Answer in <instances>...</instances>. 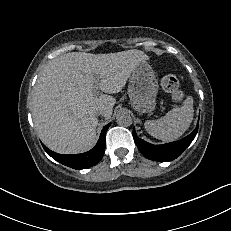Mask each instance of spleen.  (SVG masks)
<instances>
[{"label": "spleen", "mask_w": 231, "mask_h": 231, "mask_svg": "<svg viewBox=\"0 0 231 231\" xmlns=\"http://www.w3.org/2000/svg\"><path fill=\"white\" fill-rule=\"evenodd\" d=\"M193 98L188 96L181 107L170 110L158 120L144 123L146 131L156 139L173 141L182 136L193 120Z\"/></svg>", "instance_id": "spleen-1"}]
</instances>
